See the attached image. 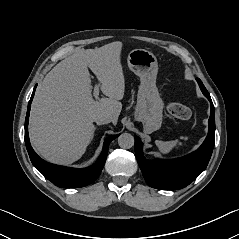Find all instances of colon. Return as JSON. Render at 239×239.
I'll list each match as a JSON object with an SVG mask.
<instances>
[{"label":"colon","mask_w":239,"mask_h":239,"mask_svg":"<svg viewBox=\"0 0 239 239\" xmlns=\"http://www.w3.org/2000/svg\"><path fill=\"white\" fill-rule=\"evenodd\" d=\"M167 110L175 118L187 122L193 121V115L191 110L182 104L170 102L167 104Z\"/></svg>","instance_id":"obj_1"}]
</instances>
